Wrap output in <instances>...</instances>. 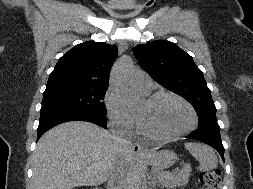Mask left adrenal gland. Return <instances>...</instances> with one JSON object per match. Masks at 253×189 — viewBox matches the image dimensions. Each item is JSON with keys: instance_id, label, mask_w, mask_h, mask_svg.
I'll return each instance as SVG.
<instances>
[{"instance_id": "a2214340", "label": "left adrenal gland", "mask_w": 253, "mask_h": 189, "mask_svg": "<svg viewBox=\"0 0 253 189\" xmlns=\"http://www.w3.org/2000/svg\"><path fill=\"white\" fill-rule=\"evenodd\" d=\"M153 184H154V185H153V187H154V186H155V184H156V182H153Z\"/></svg>"}]
</instances>
